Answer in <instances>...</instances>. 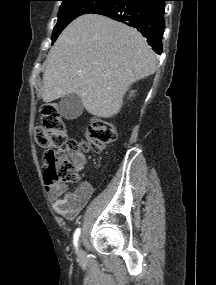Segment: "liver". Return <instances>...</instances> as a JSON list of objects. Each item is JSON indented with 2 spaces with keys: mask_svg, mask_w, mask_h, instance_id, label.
Returning <instances> with one entry per match:
<instances>
[{
  "mask_svg": "<svg viewBox=\"0 0 216 285\" xmlns=\"http://www.w3.org/2000/svg\"><path fill=\"white\" fill-rule=\"evenodd\" d=\"M156 67L155 54L136 29L86 14L71 22L51 48L42 99L48 103L76 94L90 114L109 118L120 111L128 87Z\"/></svg>",
  "mask_w": 216,
  "mask_h": 285,
  "instance_id": "obj_1",
  "label": "liver"
}]
</instances>
